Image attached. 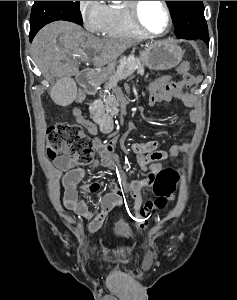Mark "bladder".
I'll return each mask as SVG.
<instances>
[{
  "label": "bladder",
  "instance_id": "1",
  "mask_svg": "<svg viewBox=\"0 0 237 300\" xmlns=\"http://www.w3.org/2000/svg\"><path fill=\"white\" fill-rule=\"evenodd\" d=\"M113 236L117 239L127 240L133 236V230L125 221H118L113 228Z\"/></svg>",
  "mask_w": 237,
  "mask_h": 300
}]
</instances>
